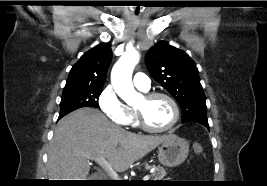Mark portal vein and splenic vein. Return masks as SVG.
Masks as SVG:
<instances>
[{
	"mask_svg": "<svg viewBox=\"0 0 267 186\" xmlns=\"http://www.w3.org/2000/svg\"><path fill=\"white\" fill-rule=\"evenodd\" d=\"M88 159L90 160H94L96 161L101 167L102 169L105 170V172L112 178V180H121L119 179V175L118 173L113 169V167L105 160L104 157L102 156H98V157H88ZM150 176L149 175H145L143 177V181H147L149 180Z\"/></svg>",
	"mask_w": 267,
	"mask_h": 186,
	"instance_id": "obj_1",
	"label": "portal vein and splenic vein"
}]
</instances>
